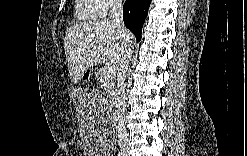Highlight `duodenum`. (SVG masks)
Instances as JSON below:
<instances>
[{
	"label": "duodenum",
	"mask_w": 247,
	"mask_h": 156,
	"mask_svg": "<svg viewBox=\"0 0 247 156\" xmlns=\"http://www.w3.org/2000/svg\"><path fill=\"white\" fill-rule=\"evenodd\" d=\"M118 104H119V99L117 98V99L113 102V107H114V110H115V115L117 114Z\"/></svg>",
	"instance_id": "1"
}]
</instances>
